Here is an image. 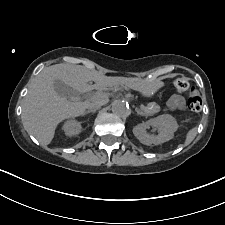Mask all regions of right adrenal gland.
Instances as JSON below:
<instances>
[{"mask_svg":"<svg viewBox=\"0 0 225 225\" xmlns=\"http://www.w3.org/2000/svg\"><path fill=\"white\" fill-rule=\"evenodd\" d=\"M95 112H96V110H87L83 115H86L88 113H95Z\"/></svg>","mask_w":225,"mask_h":225,"instance_id":"1","label":"right adrenal gland"}]
</instances>
